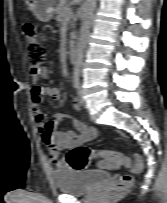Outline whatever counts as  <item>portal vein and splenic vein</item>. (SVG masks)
Masks as SVG:
<instances>
[{
	"mask_svg": "<svg viewBox=\"0 0 167 203\" xmlns=\"http://www.w3.org/2000/svg\"><path fill=\"white\" fill-rule=\"evenodd\" d=\"M71 16H72V10L68 8L66 13V20H68Z\"/></svg>",
	"mask_w": 167,
	"mask_h": 203,
	"instance_id": "18ae733b",
	"label": "portal vein and splenic vein"
}]
</instances>
